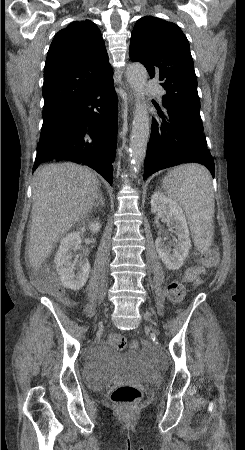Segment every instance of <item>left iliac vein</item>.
<instances>
[{
  "mask_svg": "<svg viewBox=\"0 0 245 450\" xmlns=\"http://www.w3.org/2000/svg\"><path fill=\"white\" fill-rule=\"evenodd\" d=\"M143 317H144L145 320H148V321H150L151 323L154 324V321L151 319V317L149 316V314L144 313V314H143Z\"/></svg>",
  "mask_w": 245,
  "mask_h": 450,
  "instance_id": "1",
  "label": "left iliac vein"
}]
</instances>
